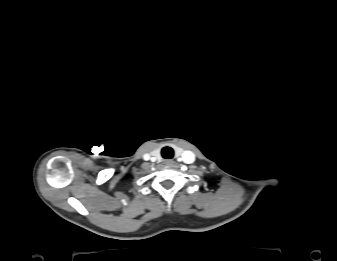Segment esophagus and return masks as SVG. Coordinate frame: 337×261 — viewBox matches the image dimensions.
Wrapping results in <instances>:
<instances>
[{"label": "esophagus", "mask_w": 337, "mask_h": 261, "mask_svg": "<svg viewBox=\"0 0 337 261\" xmlns=\"http://www.w3.org/2000/svg\"><path fill=\"white\" fill-rule=\"evenodd\" d=\"M165 165H167V166H172L173 165V163H174V161L172 160V159H168V160H165Z\"/></svg>", "instance_id": "obj_1"}]
</instances>
